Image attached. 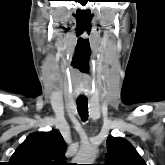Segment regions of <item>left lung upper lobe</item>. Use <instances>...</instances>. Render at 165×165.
Here are the masks:
<instances>
[{
	"instance_id": "1",
	"label": "left lung upper lobe",
	"mask_w": 165,
	"mask_h": 165,
	"mask_svg": "<svg viewBox=\"0 0 165 165\" xmlns=\"http://www.w3.org/2000/svg\"><path fill=\"white\" fill-rule=\"evenodd\" d=\"M107 154L104 165H146L135 148L121 137L107 138Z\"/></svg>"
}]
</instances>
